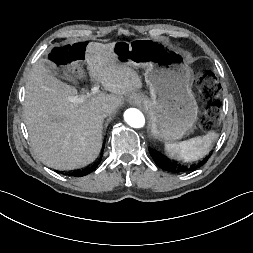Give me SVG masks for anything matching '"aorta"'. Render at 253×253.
<instances>
[{
  "label": "aorta",
  "instance_id": "obj_1",
  "mask_svg": "<svg viewBox=\"0 0 253 253\" xmlns=\"http://www.w3.org/2000/svg\"><path fill=\"white\" fill-rule=\"evenodd\" d=\"M125 122L133 128H141L145 125V117L142 112L136 108L127 109L124 112Z\"/></svg>",
  "mask_w": 253,
  "mask_h": 253
}]
</instances>
